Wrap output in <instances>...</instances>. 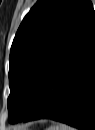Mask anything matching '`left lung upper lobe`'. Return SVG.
Listing matches in <instances>:
<instances>
[{
	"instance_id": "obj_1",
	"label": "left lung upper lobe",
	"mask_w": 95,
	"mask_h": 130,
	"mask_svg": "<svg viewBox=\"0 0 95 130\" xmlns=\"http://www.w3.org/2000/svg\"><path fill=\"white\" fill-rule=\"evenodd\" d=\"M89 0H39L23 19L9 58V122L34 104L53 66L94 16Z\"/></svg>"
}]
</instances>
